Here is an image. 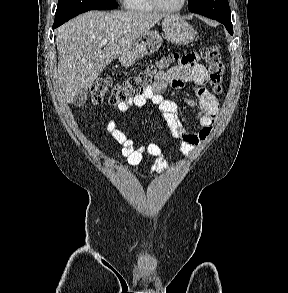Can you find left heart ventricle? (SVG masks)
Here are the masks:
<instances>
[{"instance_id":"b2bd125f","label":"left heart ventricle","mask_w":288,"mask_h":293,"mask_svg":"<svg viewBox=\"0 0 288 293\" xmlns=\"http://www.w3.org/2000/svg\"><path fill=\"white\" fill-rule=\"evenodd\" d=\"M159 2L166 7H176L181 0H159Z\"/></svg>"}]
</instances>
